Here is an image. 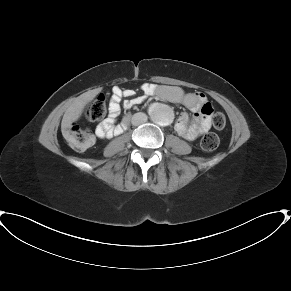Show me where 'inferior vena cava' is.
I'll return each instance as SVG.
<instances>
[{"label":"inferior vena cava","mask_w":291,"mask_h":291,"mask_svg":"<svg viewBox=\"0 0 291 291\" xmlns=\"http://www.w3.org/2000/svg\"><path fill=\"white\" fill-rule=\"evenodd\" d=\"M148 117L145 113L139 112L132 116L131 123L134 126H139L147 121Z\"/></svg>","instance_id":"inferior-vena-cava-1"}]
</instances>
